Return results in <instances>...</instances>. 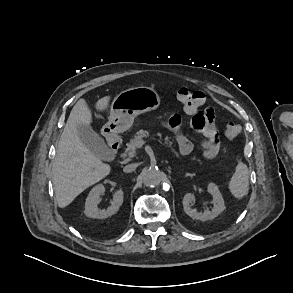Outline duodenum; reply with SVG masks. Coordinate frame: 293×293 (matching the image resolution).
Instances as JSON below:
<instances>
[{
	"instance_id": "duodenum-1",
	"label": "duodenum",
	"mask_w": 293,
	"mask_h": 293,
	"mask_svg": "<svg viewBox=\"0 0 293 293\" xmlns=\"http://www.w3.org/2000/svg\"><path fill=\"white\" fill-rule=\"evenodd\" d=\"M121 144H122V142L118 138H112V139H110V141H109V148H110V151H111V153H112V155L114 157H116L118 155L119 150L121 148Z\"/></svg>"
}]
</instances>
